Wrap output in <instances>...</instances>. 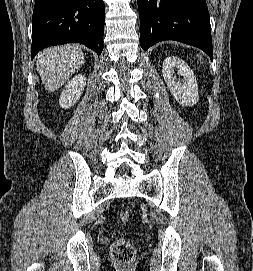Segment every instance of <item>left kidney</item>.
<instances>
[{
	"instance_id": "1",
	"label": "left kidney",
	"mask_w": 253,
	"mask_h": 271,
	"mask_svg": "<svg viewBox=\"0 0 253 271\" xmlns=\"http://www.w3.org/2000/svg\"><path fill=\"white\" fill-rule=\"evenodd\" d=\"M175 69L178 70L177 74L183 77L181 80H177L174 75ZM162 73L169 90L180 105L193 106L198 102L196 77L183 60L175 56L167 57L163 62Z\"/></svg>"
}]
</instances>
